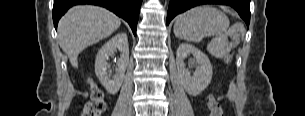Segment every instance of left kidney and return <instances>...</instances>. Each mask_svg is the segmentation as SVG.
<instances>
[{"label":"left kidney","mask_w":305,"mask_h":116,"mask_svg":"<svg viewBox=\"0 0 305 116\" xmlns=\"http://www.w3.org/2000/svg\"><path fill=\"white\" fill-rule=\"evenodd\" d=\"M188 54H192L195 63L199 66L191 74L186 69L184 59ZM176 65L178 76L185 91L192 96H197L210 84L212 79V65L209 58L196 47L182 43L176 52Z\"/></svg>","instance_id":"obj_1"}]
</instances>
